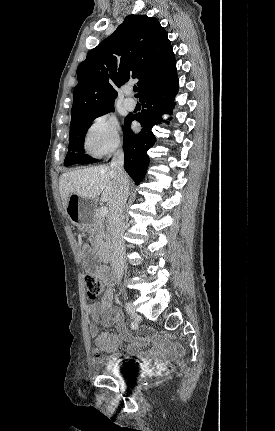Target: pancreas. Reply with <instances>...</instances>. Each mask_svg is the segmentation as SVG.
I'll return each instance as SVG.
<instances>
[{
    "instance_id": "1",
    "label": "pancreas",
    "mask_w": 275,
    "mask_h": 431,
    "mask_svg": "<svg viewBox=\"0 0 275 431\" xmlns=\"http://www.w3.org/2000/svg\"><path fill=\"white\" fill-rule=\"evenodd\" d=\"M106 224L105 219L102 217L98 210L94 211L93 223L90 229L91 244L94 251L99 252L106 245Z\"/></svg>"
}]
</instances>
